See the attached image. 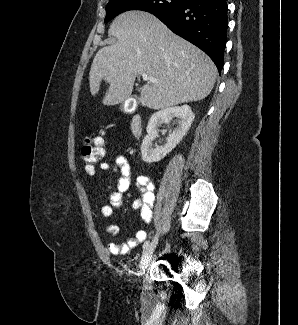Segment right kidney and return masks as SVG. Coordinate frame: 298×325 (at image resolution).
<instances>
[{
  "instance_id": "1",
  "label": "right kidney",
  "mask_w": 298,
  "mask_h": 325,
  "mask_svg": "<svg viewBox=\"0 0 298 325\" xmlns=\"http://www.w3.org/2000/svg\"><path fill=\"white\" fill-rule=\"evenodd\" d=\"M174 116L178 118L177 128H174L173 132L166 138L164 146L154 144L153 140L158 136V126L163 124V122H170ZM194 116L195 114L192 112L189 104L172 106V108H163V110L153 112L146 126L147 134L144 136L140 146L142 158L145 160V163H157V160H161L168 152H171L176 144H179L180 140H182L184 134L188 132Z\"/></svg>"
}]
</instances>
